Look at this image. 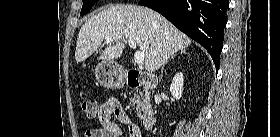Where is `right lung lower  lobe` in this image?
<instances>
[{
    "label": "right lung lower lobe",
    "mask_w": 280,
    "mask_h": 137,
    "mask_svg": "<svg viewBox=\"0 0 280 137\" xmlns=\"http://www.w3.org/2000/svg\"><path fill=\"white\" fill-rule=\"evenodd\" d=\"M138 4L159 12L200 43L218 70L229 0H141Z\"/></svg>",
    "instance_id": "98d812e1"
}]
</instances>
